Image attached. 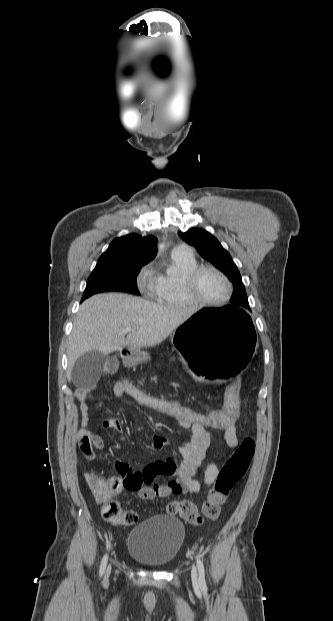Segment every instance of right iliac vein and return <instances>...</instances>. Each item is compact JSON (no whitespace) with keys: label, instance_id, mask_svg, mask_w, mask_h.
<instances>
[{"label":"right iliac vein","instance_id":"obj_1","mask_svg":"<svg viewBox=\"0 0 333 621\" xmlns=\"http://www.w3.org/2000/svg\"><path fill=\"white\" fill-rule=\"evenodd\" d=\"M109 573H110V567H108V569H107V574H109Z\"/></svg>","mask_w":333,"mask_h":621}]
</instances>
